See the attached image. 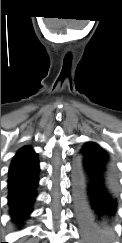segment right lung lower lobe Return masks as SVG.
Listing matches in <instances>:
<instances>
[{
  "instance_id": "1",
  "label": "right lung lower lobe",
  "mask_w": 122,
  "mask_h": 243,
  "mask_svg": "<svg viewBox=\"0 0 122 243\" xmlns=\"http://www.w3.org/2000/svg\"><path fill=\"white\" fill-rule=\"evenodd\" d=\"M38 165L17 172L8 179V205L12 220L21 224L31 211L36 198Z\"/></svg>"
}]
</instances>
